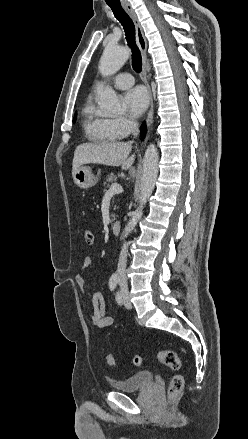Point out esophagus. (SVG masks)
Listing matches in <instances>:
<instances>
[{
    "mask_svg": "<svg viewBox=\"0 0 248 439\" xmlns=\"http://www.w3.org/2000/svg\"><path fill=\"white\" fill-rule=\"evenodd\" d=\"M123 7H124L125 11L128 13V15L130 16V18L132 19V21L134 22L135 30H136V40H137V44H138V47L140 49L141 56H142V74H143V78H144V81H145L146 86L148 88L149 96H150V106H149V110H148L147 118H146V124L149 127L152 124L154 107H153V98H152L151 88H150V84H149L150 76L148 75V72L150 70V66H149V61L147 58V41H146V38L144 36L142 26H141V24L136 16L134 10L132 9V7L128 4H124Z\"/></svg>",
    "mask_w": 248,
    "mask_h": 439,
    "instance_id": "34e87169",
    "label": "esophagus"
}]
</instances>
